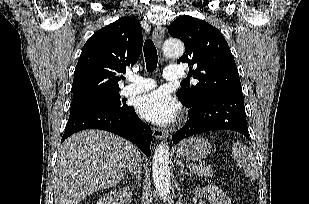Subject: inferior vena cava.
Here are the masks:
<instances>
[{
	"instance_id": "inferior-vena-cava-1",
	"label": "inferior vena cava",
	"mask_w": 309,
	"mask_h": 204,
	"mask_svg": "<svg viewBox=\"0 0 309 204\" xmlns=\"http://www.w3.org/2000/svg\"><path fill=\"white\" fill-rule=\"evenodd\" d=\"M139 162H140V159L138 158V159H136V160L132 163V165H131V167H130V169H129V171H130L131 173H134V174H140V173H141V167H140Z\"/></svg>"
}]
</instances>
